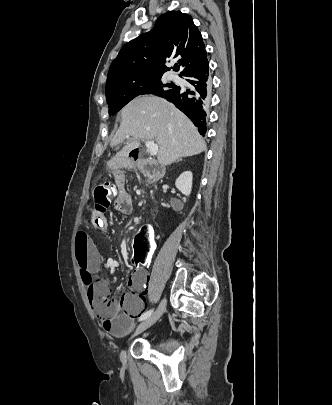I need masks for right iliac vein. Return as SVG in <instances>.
<instances>
[{"label": "right iliac vein", "mask_w": 332, "mask_h": 405, "mask_svg": "<svg viewBox=\"0 0 332 405\" xmlns=\"http://www.w3.org/2000/svg\"><path fill=\"white\" fill-rule=\"evenodd\" d=\"M165 309H166V299H163L157 310L150 317L145 319L137 326L134 334L131 336L129 340H131L134 336L142 333L150 326H152L162 316ZM120 359L122 362H126V351L124 349L120 353Z\"/></svg>", "instance_id": "63e3f726"}]
</instances>
